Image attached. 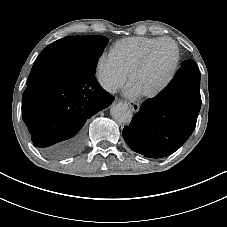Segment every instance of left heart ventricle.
I'll use <instances>...</instances> for the list:
<instances>
[{"label":"left heart ventricle","instance_id":"obj_1","mask_svg":"<svg viewBox=\"0 0 227 227\" xmlns=\"http://www.w3.org/2000/svg\"><path fill=\"white\" fill-rule=\"evenodd\" d=\"M175 54V48L169 42H162L153 49L145 67L131 81L141 95L152 91L163 82Z\"/></svg>","mask_w":227,"mask_h":227}]
</instances>
